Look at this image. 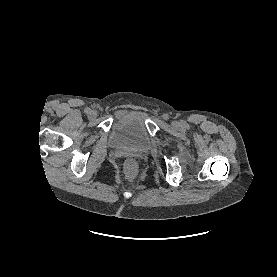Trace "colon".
Instances as JSON below:
<instances>
[{
    "label": "colon",
    "mask_w": 277,
    "mask_h": 277,
    "mask_svg": "<svg viewBox=\"0 0 277 277\" xmlns=\"http://www.w3.org/2000/svg\"><path fill=\"white\" fill-rule=\"evenodd\" d=\"M123 170H124L125 177L128 180H132L135 178V176L138 172V165H137L136 161H134L132 159H128L124 162Z\"/></svg>",
    "instance_id": "1"
}]
</instances>
